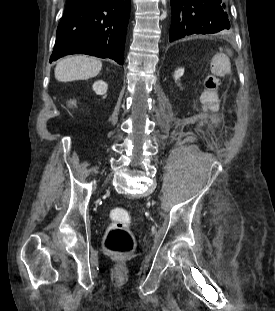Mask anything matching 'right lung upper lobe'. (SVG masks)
Returning <instances> with one entry per match:
<instances>
[{
	"label": "right lung upper lobe",
	"mask_w": 275,
	"mask_h": 311,
	"mask_svg": "<svg viewBox=\"0 0 275 311\" xmlns=\"http://www.w3.org/2000/svg\"><path fill=\"white\" fill-rule=\"evenodd\" d=\"M75 1H77V0H68L67 3H71V2H75Z\"/></svg>",
	"instance_id": "obj_1"
}]
</instances>
